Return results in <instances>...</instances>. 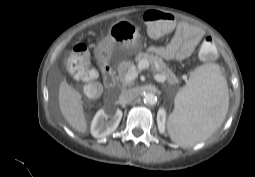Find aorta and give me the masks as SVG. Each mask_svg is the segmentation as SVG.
Returning a JSON list of instances; mask_svg holds the SVG:
<instances>
[{"label": "aorta", "mask_w": 255, "mask_h": 177, "mask_svg": "<svg viewBox=\"0 0 255 177\" xmlns=\"http://www.w3.org/2000/svg\"><path fill=\"white\" fill-rule=\"evenodd\" d=\"M144 102L153 105L156 102V96L153 93L148 92L144 95Z\"/></svg>", "instance_id": "aorta-1"}]
</instances>
